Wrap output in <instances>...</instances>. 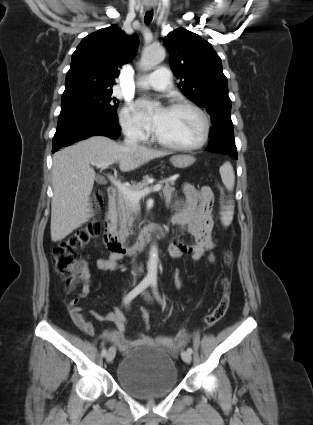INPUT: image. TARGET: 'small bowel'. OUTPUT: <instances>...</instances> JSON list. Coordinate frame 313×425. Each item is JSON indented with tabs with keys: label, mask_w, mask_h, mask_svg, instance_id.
Instances as JSON below:
<instances>
[{
	"label": "small bowel",
	"mask_w": 313,
	"mask_h": 425,
	"mask_svg": "<svg viewBox=\"0 0 313 425\" xmlns=\"http://www.w3.org/2000/svg\"><path fill=\"white\" fill-rule=\"evenodd\" d=\"M185 201L178 204L171 222L180 226L182 232L191 234L194 237V243L191 245L183 243L180 239H174L169 245L168 252L172 258H180L184 254H190L193 261H199L206 252L214 248L212 239V229L214 222L211 216L214 194L209 186L200 189L190 184L183 185ZM120 255L111 253L108 257L98 258L96 266L104 271H116L119 268ZM89 275L86 272L85 279ZM90 286L88 282L83 286L80 298L89 294ZM74 305H69V313L74 324L86 335L92 336L95 333V327L82 313V308L77 306L78 299L73 300ZM93 316L102 322H111L115 325L113 331L104 332L101 338L107 342L115 344L122 352H127L131 348L140 345L159 344L168 348L176 349L183 346L188 341V334L185 331L179 332L175 337L158 336L151 339L144 336L130 338L126 335V319L119 310L114 308L108 313H92Z\"/></svg>",
	"instance_id": "small-bowel-1"
}]
</instances>
